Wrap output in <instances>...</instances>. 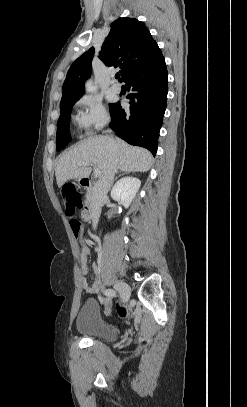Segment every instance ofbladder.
I'll list each match as a JSON object with an SVG mask.
<instances>
[{"instance_id":"obj_1","label":"bladder","mask_w":247,"mask_h":407,"mask_svg":"<svg viewBox=\"0 0 247 407\" xmlns=\"http://www.w3.org/2000/svg\"><path fill=\"white\" fill-rule=\"evenodd\" d=\"M100 315L99 304L93 299L87 300L78 313L77 331L87 338L112 343L117 339L118 331L114 326L101 322Z\"/></svg>"}]
</instances>
